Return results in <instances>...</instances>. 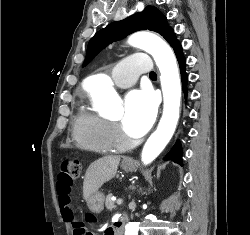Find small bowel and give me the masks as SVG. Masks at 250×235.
Listing matches in <instances>:
<instances>
[{"instance_id": "c3829d8e", "label": "small bowel", "mask_w": 250, "mask_h": 235, "mask_svg": "<svg viewBox=\"0 0 250 235\" xmlns=\"http://www.w3.org/2000/svg\"><path fill=\"white\" fill-rule=\"evenodd\" d=\"M58 193V205L62 218L66 222L72 221V209H71V192H64L57 188Z\"/></svg>"}]
</instances>
